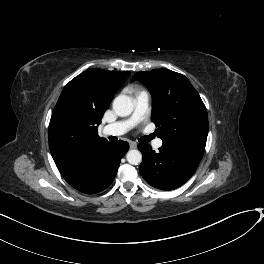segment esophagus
I'll return each instance as SVG.
<instances>
[{
	"mask_svg": "<svg viewBox=\"0 0 264 264\" xmlns=\"http://www.w3.org/2000/svg\"><path fill=\"white\" fill-rule=\"evenodd\" d=\"M130 149H136L137 148V144L134 142H130Z\"/></svg>",
	"mask_w": 264,
	"mask_h": 264,
	"instance_id": "1",
	"label": "esophagus"
}]
</instances>
